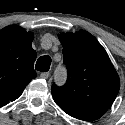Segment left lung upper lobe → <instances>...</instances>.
<instances>
[{"label": "left lung upper lobe", "instance_id": "obj_1", "mask_svg": "<svg viewBox=\"0 0 125 125\" xmlns=\"http://www.w3.org/2000/svg\"><path fill=\"white\" fill-rule=\"evenodd\" d=\"M68 70L64 86L52 85L55 103L68 115L86 121L103 116L120 89L119 76L107 52L85 30L58 35Z\"/></svg>", "mask_w": 125, "mask_h": 125}]
</instances>
